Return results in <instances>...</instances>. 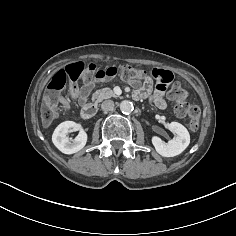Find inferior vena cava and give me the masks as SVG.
I'll return each instance as SVG.
<instances>
[{"instance_id": "obj_1", "label": "inferior vena cava", "mask_w": 236, "mask_h": 236, "mask_svg": "<svg viewBox=\"0 0 236 236\" xmlns=\"http://www.w3.org/2000/svg\"><path fill=\"white\" fill-rule=\"evenodd\" d=\"M103 111H111L114 108V102L112 100H105L101 104Z\"/></svg>"}]
</instances>
